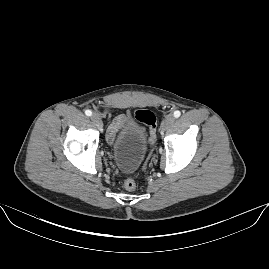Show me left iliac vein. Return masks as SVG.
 I'll return each instance as SVG.
<instances>
[{"label":"left iliac vein","instance_id":"4c4485c4","mask_svg":"<svg viewBox=\"0 0 269 269\" xmlns=\"http://www.w3.org/2000/svg\"><path fill=\"white\" fill-rule=\"evenodd\" d=\"M175 123V117L172 114H169L166 119L162 122V130L170 129Z\"/></svg>","mask_w":269,"mask_h":269}]
</instances>
